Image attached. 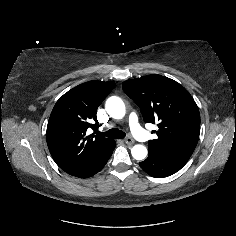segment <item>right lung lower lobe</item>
Masks as SVG:
<instances>
[{
  "label": "right lung lower lobe",
  "instance_id": "right-lung-lower-lobe-1",
  "mask_svg": "<svg viewBox=\"0 0 236 236\" xmlns=\"http://www.w3.org/2000/svg\"><path fill=\"white\" fill-rule=\"evenodd\" d=\"M116 144L114 143L110 149L103 153L83 174L77 176L79 178H88L99 172L111 157Z\"/></svg>",
  "mask_w": 236,
  "mask_h": 236
}]
</instances>
